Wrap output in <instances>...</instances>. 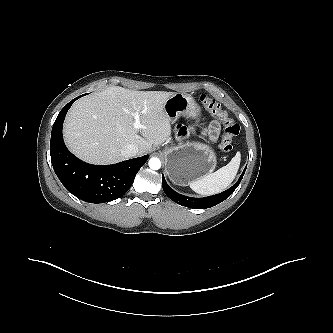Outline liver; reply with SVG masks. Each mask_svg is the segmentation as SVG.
I'll return each mask as SVG.
<instances>
[{
    "label": "liver",
    "instance_id": "1",
    "mask_svg": "<svg viewBox=\"0 0 333 333\" xmlns=\"http://www.w3.org/2000/svg\"><path fill=\"white\" fill-rule=\"evenodd\" d=\"M174 94L113 86L85 96L73 104L66 116L65 142L75 155L94 164L123 161L121 150L127 144L137 145L139 155H143L153 144L170 138V119L164 105ZM135 112H139V129L134 128Z\"/></svg>",
    "mask_w": 333,
    "mask_h": 333
}]
</instances>
